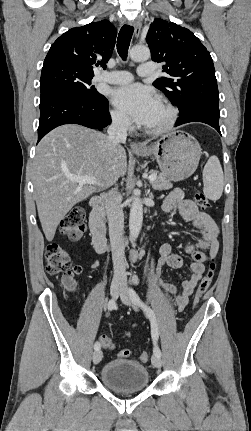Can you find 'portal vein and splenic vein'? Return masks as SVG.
Wrapping results in <instances>:
<instances>
[{
  "mask_svg": "<svg viewBox=\"0 0 251 431\" xmlns=\"http://www.w3.org/2000/svg\"><path fill=\"white\" fill-rule=\"evenodd\" d=\"M68 179L71 181L77 182L79 184H90V185H96L98 184L97 180L92 176H68ZM156 179V175L151 174L148 177V180L150 182L154 181Z\"/></svg>",
  "mask_w": 251,
  "mask_h": 431,
  "instance_id": "1",
  "label": "portal vein and splenic vein"
}]
</instances>
